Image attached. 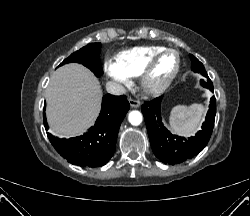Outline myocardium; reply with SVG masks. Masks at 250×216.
<instances>
[{
	"mask_svg": "<svg viewBox=\"0 0 250 216\" xmlns=\"http://www.w3.org/2000/svg\"><path fill=\"white\" fill-rule=\"evenodd\" d=\"M167 53H173L176 55L177 57V64H176V68L173 71V73L170 75V77L160 86L158 87H152L149 85V77L157 63V61L159 60V58L161 56H163L164 54ZM181 56L180 53L172 48H165L157 53H155L147 62V64L145 65V67L143 68L141 74H140V85L141 88L143 90V92L147 95L150 96H157L160 95L162 93H164L170 86L171 84L174 82V80L177 78L180 69H181Z\"/></svg>",
	"mask_w": 250,
	"mask_h": 216,
	"instance_id": "myocardium-1",
	"label": "myocardium"
}]
</instances>
